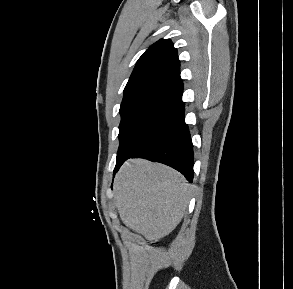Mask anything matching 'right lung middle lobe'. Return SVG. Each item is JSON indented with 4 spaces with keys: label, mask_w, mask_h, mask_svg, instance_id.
I'll use <instances>...</instances> for the list:
<instances>
[{
    "label": "right lung middle lobe",
    "mask_w": 293,
    "mask_h": 289,
    "mask_svg": "<svg viewBox=\"0 0 293 289\" xmlns=\"http://www.w3.org/2000/svg\"><path fill=\"white\" fill-rule=\"evenodd\" d=\"M178 109L176 105L159 99H132L120 106V145L118 152L128 148L153 125Z\"/></svg>",
    "instance_id": "obj_1"
}]
</instances>
